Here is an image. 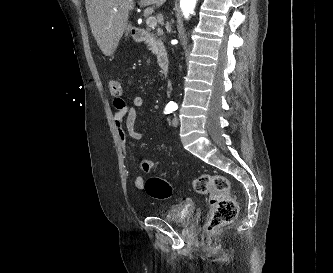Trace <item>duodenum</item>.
Wrapping results in <instances>:
<instances>
[{
    "instance_id": "duodenum-1",
    "label": "duodenum",
    "mask_w": 333,
    "mask_h": 273,
    "mask_svg": "<svg viewBox=\"0 0 333 273\" xmlns=\"http://www.w3.org/2000/svg\"><path fill=\"white\" fill-rule=\"evenodd\" d=\"M132 34L136 41L146 42L153 45L160 69L163 74H166L169 70L170 61L168 53L160 39V34L140 27H134L132 29Z\"/></svg>"
}]
</instances>
